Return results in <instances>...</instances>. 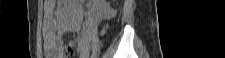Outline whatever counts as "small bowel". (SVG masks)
Instances as JSON below:
<instances>
[{"instance_id":"obj_1","label":"small bowel","mask_w":225,"mask_h":58,"mask_svg":"<svg viewBox=\"0 0 225 58\" xmlns=\"http://www.w3.org/2000/svg\"><path fill=\"white\" fill-rule=\"evenodd\" d=\"M54 8L55 3L52 1H48L44 8L43 46L45 53L49 57H63V55H61V49L63 46V35L67 28L60 24L53 16ZM105 12L111 13L109 10Z\"/></svg>"}]
</instances>
